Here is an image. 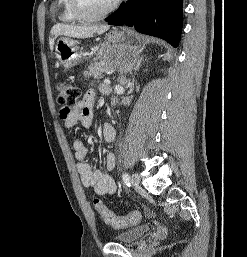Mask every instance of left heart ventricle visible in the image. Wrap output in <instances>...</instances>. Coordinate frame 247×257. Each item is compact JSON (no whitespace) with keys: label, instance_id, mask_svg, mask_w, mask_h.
Listing matches in <instances>:
<instances>
[{"label":"left heart ventricle","instance_id":"left-heart-ventricle-1","mask_svg":"<svg viewBox=\"0 0 247 257\" xmlns=\"http://www.w3.org/2000/svg\"><path fill=\"white\" fill-rule=\"evenodd\" d=\"M114 0H82L86 12L96 14L105 10Z\"/></svg>","mask_w":247,"mask_h":257}]
</instances>
